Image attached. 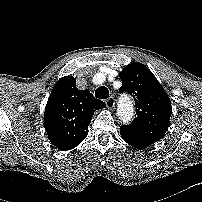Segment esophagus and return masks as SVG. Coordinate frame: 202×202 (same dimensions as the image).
I'll return each mask as SVG.
<instances>
[{
    "label": "esophagus",
    "instance_id": "esophagus-1",
    "mask_svg": "<svg viewBox=\"0 0 202 202\" xmlns=\"http://www.w3.org/2000/svg\"><path fill=\"white\" fill-rule=\"evenodd\" d=\"M105 104L108 109H113L115 107V99L113 96H110L108 99L105 100Z\"/></svg>",
    "mask_w": 202,
    "mask_h": 202
}]
</instances>
